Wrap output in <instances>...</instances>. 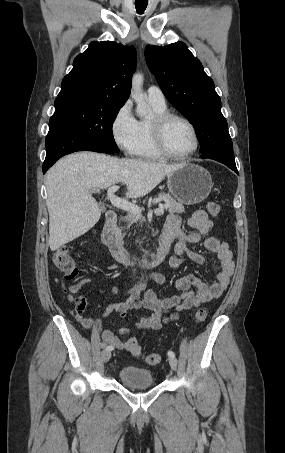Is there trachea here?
Listing matches in <instances>:
<instances>
[{"mask_svg": "<svg viewBox=\"0 0 285 453\" xmlns=\"http://www.w3.org/2000/svg\"><path fill=\"white\" fill-rule=\"evenodd\" d=\"M144 0H136L135 1V8L138 14H143L148 2H143Z\"/></svg>", "mask_w": 285, "mask_h": 453, "instance_id": "obj_1", "label": "trachea"}]
</instances>
